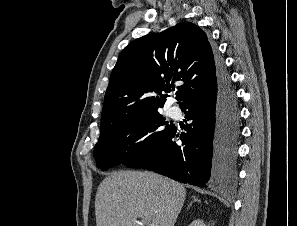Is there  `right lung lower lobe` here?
I'll list each match as a JSON object with an SVG mask.
<instances>
[{
    "label": "right lung lower lobe",
    "mask_w": 297,
    "mask_h": 226,
    "mask_svg": "<svg viewBox=\"0 0 297 226\" xmlns=\"http://www.w3.org/2000/svg\"><path fill=\"white\" fill-rule=\"evenodd\" d=\"M216 62V82L180 105L187 110V119L192 120L186 133H179L174 127L152 151L126 166L146 168L200 187L235 180L239 106L224 63L220 59Z\"/></svg>",
    "instance_id": "98d812e1"
}]
</instances>
